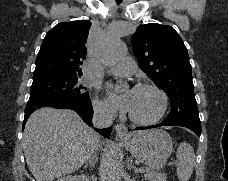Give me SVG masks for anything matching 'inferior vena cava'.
Returning a JSON list of instances; mask_svg holds the SVG:
<instances>
[{"label":"inferior vena cava","mask_w":228,"mask_h":181,"mask_svg":"<svg viewBox=\"0 0 228 181\" xmlns=\"http://www.w3.org/2000/svg\"><path fill=\"white\" fill-rule=\"evenodd\" d=\"M93 109V127H96V129H106V127L113 125L114 113L107 111L103 105H94ZM96 135H98V133H96ZM95 151H99L98 147H95Z\"/></svg>","instance_id":"1"}]
</instances>
